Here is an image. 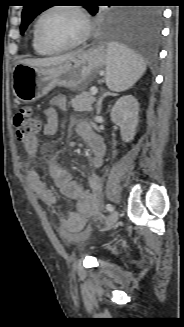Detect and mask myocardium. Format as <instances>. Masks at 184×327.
<instances>
[{
	"mask_svg": "<svg viewBox=\"0 0 184 327\" xmlns=\"http://www.w3.org/2000/svg\"><path fill=\"white\" fill-rule=\"evenodd\" d=\"M58 9H67L70 11H73L76 13L79 18L81 19L83 26H84V31L82 35L74 42L62 46H54L50 43H48L41 35L40 32V25L43 20V18L49 14L52 11L58 10ZM92 31V26L90 19L87 15V13L83 10L82 7L78 5H72V4H58V5H53L45 9L37 18L35 25H34V35L37 40V42L45 49L51 51V52H62V51H67L74 49L76 47H79L80 45L84 44L88 38L91 35Z\"/></svg>",
	"mask_w": 184,
	"mask_h": 327,
	"instance_id": "obj_1",
	"label": "myocardium"
}]
</instances>
